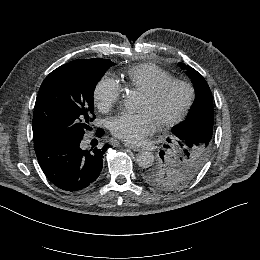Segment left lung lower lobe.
Returning a JSON list of instances; mask_svg holds the SVG:
<instances>
[{
    "label": "left lung lower lobe",
    "mask_w": 260,
    "mask_h": 260,
    "mask_svg": "<svg viewBox=\"0 0 260 260\" xmlns=\"http://www.w3.org/2000/svg\"><path fill=\"white\" fill-rule=\"evenodd\" d=\"M199 113V115H194L196 126L193 128L200 134H206L213 130V110L201 108L199 109Z\"/></svg>",
    "instance_id": "left-lung-lower-lobe-1"
}]
</instances>
